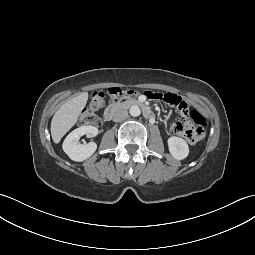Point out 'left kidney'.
Returning <instances> with one entry per match:
<instances>
[{
	"instance_id": "left-kidney-1",
	"label": "left kidney",
	"mask_w": 255,
	"mask_h": 255,
	"mask_svg": "<svg viewBox=\"0 0 255 255\" xmlns=\"http://www.w3.org/2000/svg\"><path fill=\"white\" fill-rule=\"evenodd\" d=\"M169 152L176 160H183L189 154V146L187 142L179 137L172 136L168 139Z\"/></svg>"
}]
</instances>
